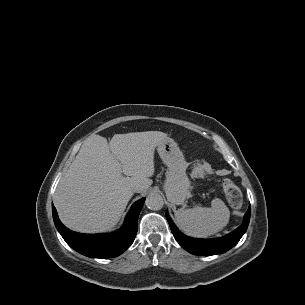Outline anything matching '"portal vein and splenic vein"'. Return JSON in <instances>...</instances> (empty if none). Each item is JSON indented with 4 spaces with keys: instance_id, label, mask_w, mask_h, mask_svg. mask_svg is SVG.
I'll use <instances>...</instances> for the list:
<instances>
[{
    "instance_id": "18ae733b",
    "label": "portal vein and splenic vein",
    "mask_w": 305,
    "mask_h": 305,
    "mask_svg": "<svg viewBox=\"0 0 305 305\" xmlns=\"http://www.w3.org/2000/svg\"><path fill=\"white\" fill-rule=\"evenodd\" d=\"M117 165H118V167H121L119 163Z\"/></svg>"
}]
</instances>
